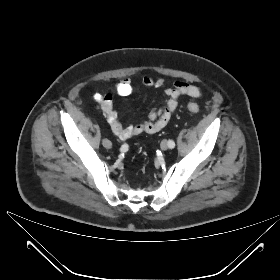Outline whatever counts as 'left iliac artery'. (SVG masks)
<instances>
[{
  "mask_svg": "<svg viewBox=\"0 0 280 280\" xmlns=\"http://www.w3.org/2000/svg\"><path fill=\"white\" fill-rule=\"evenodd\" d=\"M168 146L170 149H173L175 147V142L173 140L168 141Z\"/></svg>",
  "mask_w": 280,
  "mask_h": 280,
  "instance_id": "1",
  "label": "left iliac artery"
}]
</instances>
